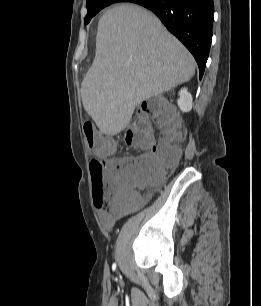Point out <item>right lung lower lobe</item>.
I'll return each mask as SVG.
<instances>
[{
  "mask_svg": "<svg viewBox=\"0 0 261 306\" xmlns=\"http://www.w3.org/2000/svg\"><path fill=\"white\" fill-rule=\"evenodd\" d=\"M154 12L193 54L203 76L212 39L213 0H134Z\"/></svg>",
  "mask_w": 261,
  "mask_h": 306,
  "instance_id": "right-lung-lower-lobe-1",
  "label": "right lung lower lobe"
}]
</instances>
